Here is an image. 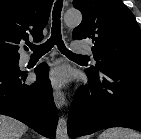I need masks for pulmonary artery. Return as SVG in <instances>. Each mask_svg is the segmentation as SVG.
Segmentation results:
<instances>
[{"mask_svg":"<svg viewBox=\"0 0 141 139\" xmlns=\"http://www.w3.org/2000/svg\"><path fill=\"white\" fill-rule=\"evenodd\" d=\"M73 50L79 53H86L90 54L91 53V48L88 45L82 44V43H73L72 45ZM28 57H25L27 59Z\"/></svg>","mask_w":141,"mask_h":139,"instance_id":"pulmonary-artery-1","label":"pulmonary artery"}]
</instances>
